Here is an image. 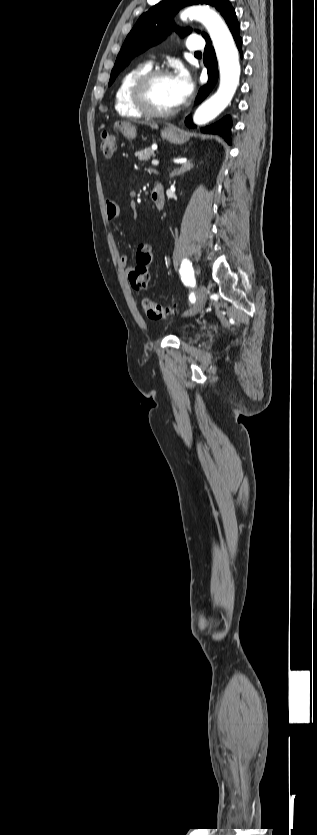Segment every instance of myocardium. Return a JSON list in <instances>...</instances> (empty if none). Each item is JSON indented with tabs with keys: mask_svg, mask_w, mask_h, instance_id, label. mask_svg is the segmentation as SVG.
<instances>
[{
	"mask_svg": "<svg viewBox=\"0 0 317 835\" xmlns=\"http://www.w3.org/2000/svg\"><path fill=\"white\" fill-rule=\"evenodd\" d=\"M164 77H170V73L167 70L150 69L140 76L132 87L131 96L133 103L145 116L166 118L174 115L178 111V106L168 110H159L152 103L150 93L153 84L156 80Z\"/></svg>",
	"mask_w": 317,
	"mask_h": 835,
	"instance_id": "1",
	"label": "myocardium"
}]
</instances>
